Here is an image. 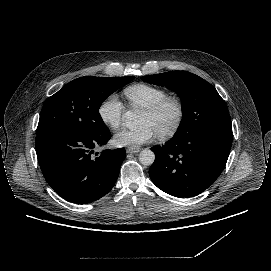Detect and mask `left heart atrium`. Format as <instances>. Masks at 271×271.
I'll return each instance as SVG.
<instances>
[{"instance_id":"1","label":"left heart atrium","mask_w":271,"mask_h":271,"mask_svg":"<svg viewBox=\"0 0 271 271\" xmlns=\"http://www.w3.org/2000/svg\"><path fill=\"white\" fill-rule=\"evenodd\" d=\"M155 133L148 125H142L135 131L123 130L114 136V144L117 147L138 149L144 144L151 142Z\"/></svg>"}]
</instances>
